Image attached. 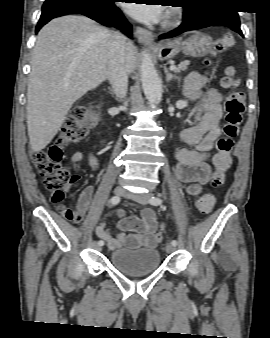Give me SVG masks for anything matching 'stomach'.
<instances>
[{
    "mask_svg": "<svg viewBox=\"0 0 270 338\" xmlns=\"http://www.w3.org/2000/svg\"><path fill=\"white\" fill-rule=\"evenodd\" d=\"M211 46L212 40L209 36L192 33L185 39L178 38L162 43L157 49V54L161 60H169L181 51L192 57H204L210 52Z\"/></svg>",
    "mask_w": 270,
    "mask_h": 338,
    "instance_id": "0dacf381",
    "label": "stomach"
}]
</instances>
